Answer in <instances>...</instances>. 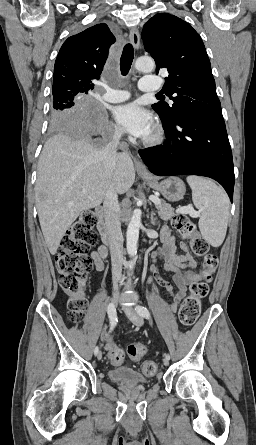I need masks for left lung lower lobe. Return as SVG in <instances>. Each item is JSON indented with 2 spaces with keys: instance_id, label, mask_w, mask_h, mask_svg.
I'll list each match as a JSON object with an SVG mask.
<instances>
[{
  "instance_id": "0a47b994",
  "label": "left lung lower lobe",
  "mask_w": 256,
  "mask_h": 445,
  "mask_svg": "<svg viewBox=\"0 0 256 445\" xmlns=\"http://www.w3.org/2000/svg\"><path fill=\"white\" fill-rule=\"evenodd\" d=\"M162 123L167 142L139 151L150 171L158 176L210 177L224 187L232 202L234 167L222 113L186 109Z\"/></svg>"
}]
</instances>
